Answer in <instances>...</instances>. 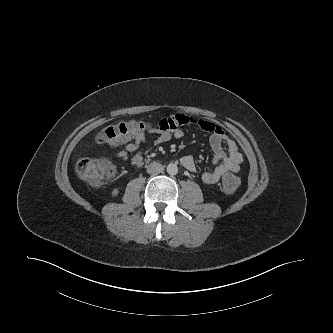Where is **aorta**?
<instances>
[{"mask_svg": "<svg viewBox=\"0 0 333 333\" xmlns=\"http://www.w3.org/2000/svg\"><path fill=\"white\" fill-rule=\"evenodd\" d=\"M167 173L171 176L176 175L178 173V166L174 163H170L167 165Z\"/></svg>", "mask_w": 333, "mask_h": 333, "instance_id": "762f6f07", "label": "aorta"}]
</instances>
